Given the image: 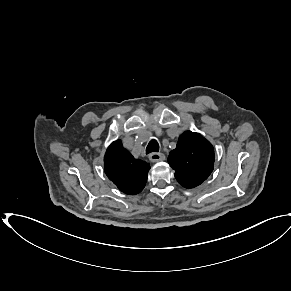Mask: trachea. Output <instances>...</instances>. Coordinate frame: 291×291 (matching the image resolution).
I'll use <instances>...</instances> for the list:
<instances>
[{"instance_id":"3493384b","label":"trachea","mask_w":291,"mask_h":291,"mask_svg":"<svg viewBox=\"0 0 291 291\" xmlns=\"http://www.w3.org/2000/svg\"><path fill=\"white\" fill-rule=\"evenodd\" d=\"M159 151V144L155 139H152L146 147V154Z\"/></svg>"}]
</instances>
